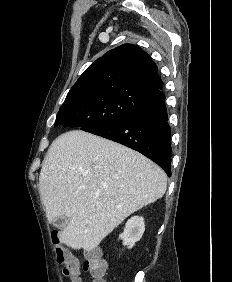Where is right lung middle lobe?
Listing matches in <instances>:
<instances>
[{"mask_svg": "<svg viewBox=\"0 0 232 282\" xmlns=\"http://www.w3.org/2000/svg\"><path fill=\"white\" fill-rule=\"evenodd\" d=\"M154 106L153 100L136 90L110 89L85 93L64 101L54 126L89 130L136 116Z\"/></svg>", "mask_w": 232, "mask_h": 282, "instance_id": "dd1d6c3e", "label": "right lung middle lobe"}]
</instances>
